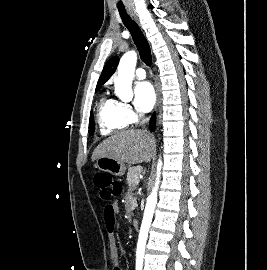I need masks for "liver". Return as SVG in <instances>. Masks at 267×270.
I'll return each instance as SVG.
<instances>
[{
	"label": "liver",
	"mask_w": 267,
	"mask_h": 270,
	"mask_svg": "<svg viewBox=\"0 0 267 270\" xmlns=\"http://www.w3.org/2000/svg\"><path fill=\"white\" fill-rule=\"evenodd\" d=\"M155 141L145 130L117 132L99 144L92 154V161L110 157L123 163L150 162L154 156Z\"/></svg>",
	"instance_id": "liver-1"
}]
</instances>
